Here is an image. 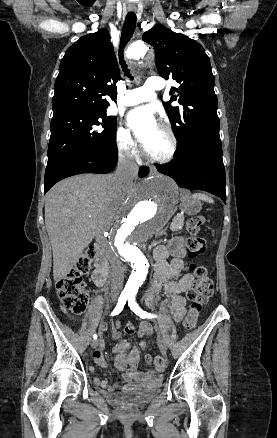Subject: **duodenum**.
I'll return each mask as SVG.
<instances>
[{"label":"duodenum","mask_w":277,"mask_h":438,"mask_svg":"<svg viewBox=\"0 0 277 438\" xmlns=\"http://www.w3.org/2000/svg\"><path fill=\"white\" fill-rule=\"evenodd\" d=\"M96 259H95V271L93 273V281L97 286H102L108 276V262L103 253L102 247L99 244L95 245ZM156 260V255H154Z\"/></svg>","instance_id":"duodenum-1"}]
</instances>
